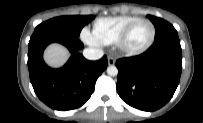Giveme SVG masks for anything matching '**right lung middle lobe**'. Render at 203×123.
Wrapping results in <instances>:
<instances>
[{
  "mask_svg": "<svg viewBox=\"0 0 203 123\" xmlns=\"http://www.w3.org/2000/svg\"><path fill=\"white\" fill-rule=\"evenodd\" d=\"M94 19L92 15L61 16L39 24L34 32H46L57 36L77 38L85 24Z\"/></svg>",
  "mask_w": 203,
  "mask_h": 123,
  "instance_id": "dd1d6c3e",
  "label": "right lung middle lobe"
}]
</instances>
